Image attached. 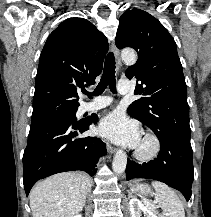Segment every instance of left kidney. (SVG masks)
Segmentation results:
<instances>
[{
    "label": "left kidney",
    "instance_id": "5707ae66",
    "mask_svg": "<svg viewBox=\"0 0 211 217\" xmlns=\"http://www.w3.org/2000/svg\"><path fill=\"white\" fill-rule=\"evenodd\" d=\"M129 206L132 217H140L141 212L144 213V217H157L151 210L144 206V204L135 197L130 199Z\"/></svg>",
    "mask_w": 211,
    "mask_h": 217
}]
</instances>
